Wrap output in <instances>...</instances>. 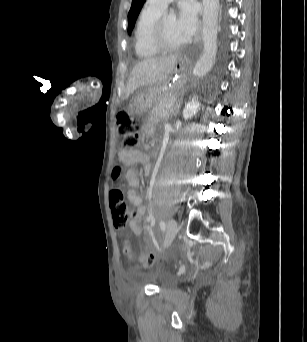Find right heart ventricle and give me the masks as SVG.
Instances as JSON below:
<instances>
[{
    "label": "right heart ventricle",
    "mask_w": 307,
    "mask_h": 342,
    "mask_svg": "<svg viewBox=\"0 0 307 342\" xmlns=\"http://www.w3.org/2000/svg\"><path fill=\"white\" fill-rule=\"evenodd\" d=\"M161 14L144 7L139 11L133 32V48L140 60H151L159 53L150 44V32L153 23Z\"/></svg>",
    "instance_id": "obj_1"
}]
</instances>
